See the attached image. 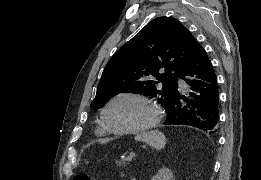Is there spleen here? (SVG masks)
Returning <instances> with one entry per match:
<instances>
[{
  "label": "spleen",
  "instance_id": "1",
  "mask_svg": "<svg viewBox=\"0 0 261 180\" xmlns=\"http://www.w3.org/2000/svg\"><path fill=\"white\" fill-rule=\"evenodd\" d=\"M135 140H139V142H148V144H152V146L157 148V150L165 148L166 144L164 134H161L158 130H152V132H141V134L135 136Z\"/></svg>",
  "mask_w": 261,
  "mask_h": 180
}]
</instances>
